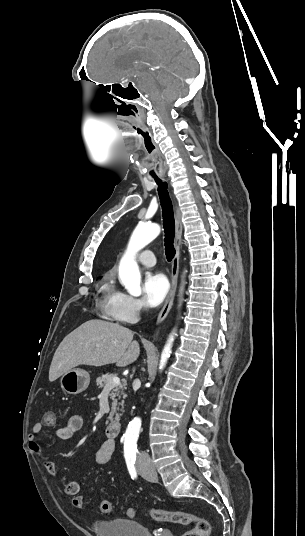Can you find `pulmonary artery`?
<instances>
[{
	"label": "pulmonary artery",
	"instance_id": "1",
	"mask_svg": "<svg viewBox=\"0 0 305 536\" xmlns=\"http://www.w3.org/2000/svg\"><path fill=\"white\" fill-rule=\"evenodd\" d=\"M137 262L140 264L146 266V267H152L156 263V257L155 254L151 249H144L136 256Z\"/></svg>",
	"mask_w": 305,
	"mask_h": 536
}]
</instances>
